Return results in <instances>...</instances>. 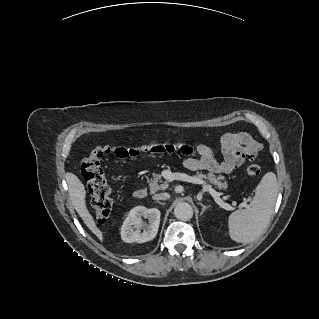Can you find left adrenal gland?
<instances>
[{
    "instance_id": "obj_1",
    "label": "left adrenal gland",
    "mask_w": 319,
    "mask_h": 319,
    "mask_svg": "<svg viewBox=\"0 0 319 319\" xmlns=\"http://www.w3.org/2000/svg\"><path fill=\"white\" fill-rule=\"evenodd\" d=\"M199 205L202 207V210H201V215L205 212V210L208 209L209 206H206L204 204H202L201 202H199Z\"/></svg>"
}]
</instances>
